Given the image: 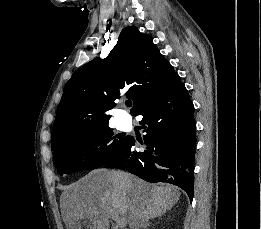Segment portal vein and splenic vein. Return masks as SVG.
<instances>
[{
  "label": "portal vein and splenic vein",
  "mask_w": 261,
  "mask_h": 229,
  "mask_svg": "<svg viewBox=\"0 0 261 229\" xmlns=\"http://www.w3.org/2000/svg\"><path fill=\"white\" fill-rule=\"evenodd\" d=\"M125 225H126V221H125V219H123V217H121V219H118L117 227H115V229H123V227H125Z\"/></svg>",
  "instance_id": "obj_1"
}]
</instances>
